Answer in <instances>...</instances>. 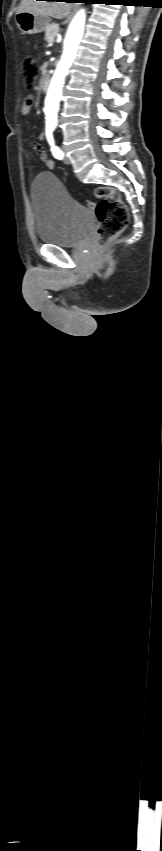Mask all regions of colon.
Instances as JSON below:
<instances>
[{"label": "colon", "instance_id": "5ec220e1", "mask_svg": "<svg viewBox=\"0 0 162 851\" xmlns=\"http://www.w3.org/2000/svg\"><path fill=\"white\" fill-rule=\"evenodd\" d=\"M38 75V66L34 59L26 55L23 60V76L27 86H32ZM97 203L90 202L95 209L99 225L95 245L97 249L104 248L111 239L120 234L127 226L129 212L117 189L110 186H100L95 189Z\"/></svg>", "mask_w": 162, "mask_h": 851}]
</instances>
